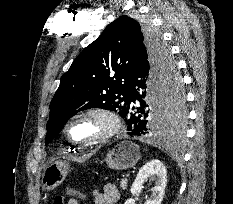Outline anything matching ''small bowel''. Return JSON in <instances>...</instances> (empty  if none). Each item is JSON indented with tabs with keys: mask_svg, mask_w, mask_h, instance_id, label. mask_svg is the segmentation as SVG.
<instances>
[{
	"mask_svg": "<svg viewBox=\"0 0 233 204\" xmlns=\"http://www.w3.org/2000/svg\"><path fill=\"white\" fill-rule=\"evenodd\" d=\"M93 197L95 204H116L120 194L113 184H108L102 191H95Z\"/></svg>",
	"mask_w": 233,
	"mask_h": 204,
	"instance_id": "small-bowel-1",
	"label": "small bowel"
}]
</instances>
